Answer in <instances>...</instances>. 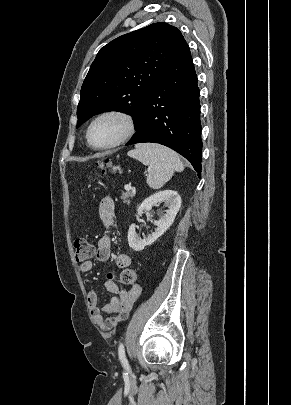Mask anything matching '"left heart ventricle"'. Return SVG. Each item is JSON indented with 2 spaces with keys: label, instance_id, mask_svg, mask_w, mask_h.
Masks as SVG:
<instances>
[{
  "label": "left heart ventricle",
  "instance_id": "left-heart-ventricle-1",
  "mask_svg": "<svg viewBox=\"0 0 291 405\" xmlns=\"http://www.w3.org/2000/svg\"><path fill=\"white\" fill-rule=\"evenodd\" d=\"M123 122L115 117L99 120L91 129L90 141L94 146H104L116 140L123 132Z\"/></svg>",
  "mask_w": 291,
  "mask_h": 405
}]
</instances>
